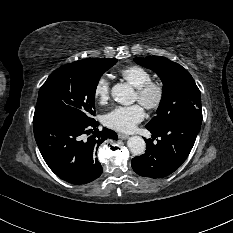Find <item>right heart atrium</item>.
Returning <instances> with one entry per match:
<instances>
[{"label": "right heart atrium", "instance_id": "d8ad5b80", "mask_svg": "<svg viewBox=\"0 0 233 233\" xmlns=\"http://www.w3.org/2000/svg\"><path fill=\"white\" fill-rule=\"evenodd\" d=\"M94 97L97 102L104 104L108 101L110 96V82L107 77L101 76L94 86Z\"/></svg>", "mask_w": 233, "mask_h": 233}]
</instances>
